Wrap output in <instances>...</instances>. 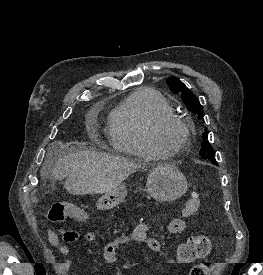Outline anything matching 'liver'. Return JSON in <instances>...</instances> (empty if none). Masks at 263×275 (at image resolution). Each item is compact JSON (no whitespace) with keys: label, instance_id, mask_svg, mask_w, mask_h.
I'll return each instance as SVG.
<instances>
[{"label":"liver","instance_id":"6515ba94","mask_svg":"<svg viewBox=\"0 0 263 275\" xmlns=\"http://www.w3.org/2000/svg\"><path fill=\"white\" fill-rule=\"evenodd\" d=\"M59 145L53 148L59 151ZM140 167L141 164L119 156L83 150L59 154L53 165L47 160L41 175L51 174L57 180L65 178V189L73 195L103 194L117 188Z\"/></svg>","mask_w":263,"mask_h":275}]
</instances>
